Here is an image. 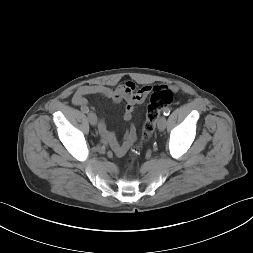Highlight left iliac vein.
I'll return each instance as SVG.
<instances>
[{
  "label": "left iliac vein",
  "mask_w": 253,
  "mask_h": 253,
  "mask_svg": "<svg viewBox=\"0 0 253 253\" xmlns=\"http://www.w3.org/2000/svg\"><path fill=\"white\" fill-rule=\"evenodd\" d=\"M157 127L160 131H163L166 127V118L161 116L158 120Z\"/></svg>",
  "instance_id": "1"
}]
</instances>
